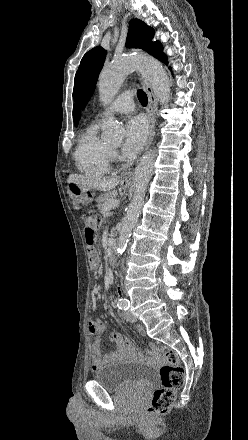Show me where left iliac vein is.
<instances>
[{
  "label": "left iliac vein",
  "instance_id": "4c4485c4",
  "mask_svg": "<svg viewBox=\"0 0 248 440\" xmlns=\"http://www.w3.org/2000/svg\"><path fill=\"white\" fill-rule=\"evenodd\" d=\"M123 318L129 322H135L137 320L136 316L130 310L123 313Z\"/></svg>",
  "mask_w": 248,
  "mask_h": 440
}]
</instances>
